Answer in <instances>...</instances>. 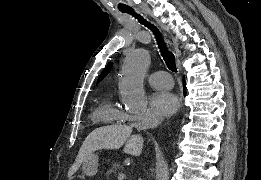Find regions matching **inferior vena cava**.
I'll return each instance as SVG.
<instances>
[{"instance_id": "inferior-vena-cava-1", "label": "inferior vena cava", "mask_w": 261, "mask_h": 180, "mask_svg": "<svg viewBox=\"0 0 261 180\" xmlns=\"http://www.w3.org/2000/svg\"><path fill=\"white\" fill-rule=\"evenodd\" d=\"M137 128H142L141 124H138Z\"/></svg>"}]
</instances>
